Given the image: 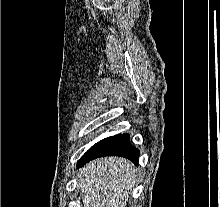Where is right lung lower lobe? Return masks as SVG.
<instances>
[{
  "label": "right lung lower lobe",
  "instance_id": "obj_1",
  "mask_svg": "<svg viewBox=\"0 0 220 207\" xmlns=\"http://www.w3.org/2000/svg\"><path fill=\"white\" fill-rule=\"evenodd\" d=\"M139 150L133 147L128 134H119L105 138L94 144L78 161L77 167L103 156H122L138 164Z\"/></svg>",
  "mask_w": 220,
  "mask_h": 207
}]
</instances>
